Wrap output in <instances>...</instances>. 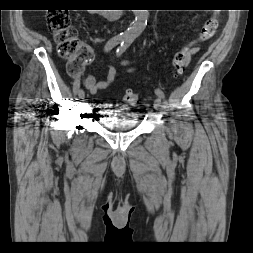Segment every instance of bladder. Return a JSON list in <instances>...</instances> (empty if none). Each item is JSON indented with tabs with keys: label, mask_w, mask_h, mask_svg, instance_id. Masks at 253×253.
I'll list each match as a JSON object with an SVG mask.
<instances>
[{
	"label": "bladder",
	"mask_w": 253,
	"mask_h": 253,
	"mask_svg": "<svg viewBox=\"0 0 253 253\" xmlns=\"http://www.w3.org/2000/svg\"><path fill=\"white\" fill-rule=\"evenodd\" d=\"M112 108L114 111L104 110L100 114V122L104 128L121 132L133 130L138 127L137 119L129 112L127 107L118 105Z\"/></svg>",
	"instance_id": "1"
}]
</instances>
